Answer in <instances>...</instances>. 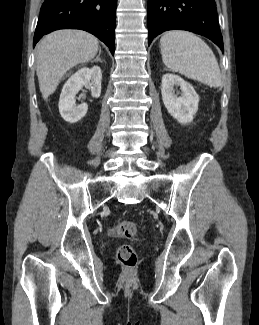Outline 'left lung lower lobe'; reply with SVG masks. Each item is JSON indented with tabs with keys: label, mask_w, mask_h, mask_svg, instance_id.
<instances>
[{
	"label": "left lung lower lobe",
	"mask_w": 259,
	"mask_h": 325,
	"mask_svg": "<svg viewBox=\"0 0 259 325\" xmlns=\"http://www.w3.org/2000/svg\"><path fill=\"white\" fill-rule=\"evenodd\" d=\"M187 30L223 50L215 0H148V42L167 30Z\"/></svg>",
	"instance_id": "0a47b994"
}]
</instances>
